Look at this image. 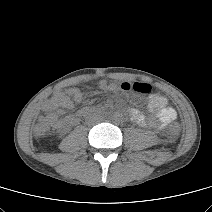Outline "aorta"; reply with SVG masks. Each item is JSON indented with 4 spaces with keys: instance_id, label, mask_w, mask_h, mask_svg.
Masks as SVG:
<instances>
[{
    "instance_id": "762f6f07",
    "label": "aorta",
    "mask_w": 212,
    "mask_h": 212,
    "mask_svg": "<svg viewBox=\"0 0 212 212\" xmlns=\"http://www.w3.org/2000/svg\"><path fill=\"white\" fill-rule=\"evenodd\" d=\"M112 121L114 123H121L123 121V114L121 112H114L112 114Z\"/></svg>"
}]
</instances>
